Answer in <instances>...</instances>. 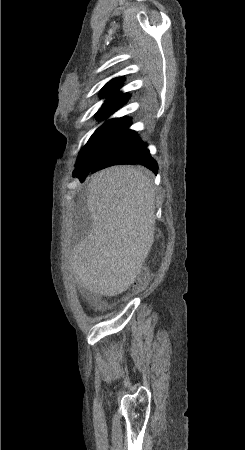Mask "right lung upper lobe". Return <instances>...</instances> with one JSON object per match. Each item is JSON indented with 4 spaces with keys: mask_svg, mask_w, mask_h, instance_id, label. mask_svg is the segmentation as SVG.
Segmentation results:
<instances>
[{
    "mask_svg": "<svg viewBox=\"0 0 245 450\" xmlns=\"http://www.w3.org/2000/svg\"><path fill=\"white\" fill-rule=\"evenodd\" d=\"M123 78L118 77L108 82L101 92L102 97H109L103 104L101 109H119L128 100L127 93L117 92L122 87Z\"/></svg>",
    "mask_w": 245,
    "mask_h": 450,
    "instance_id": "obj_1",
    "label": "right lung upper lobe"
}]
</instances>
